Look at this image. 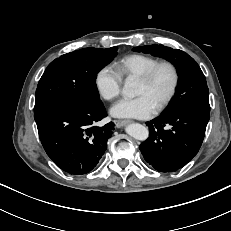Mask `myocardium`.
Segmentation results:
<instances>
[{"instance_id":"f54148a6","label":"myocardium","mask_w":231,"mask_h":231,"mask_svg":"<svg viewBox=\"0 0 231 231\" xmlns=\"http://www.w3.org/2000/svg\"><path fill=\"white\" fill-rule=\"evenodd\" d=\"M168 68L172 75V83L170 89L162 101L157 105L156 112L164 110L173 100L177 93L180 84V72L177 65L170 60L158 61L154 66L147 70L144 74L138 77V81L142 83H150L155 78L156 74L162 69Z\"/></svg>"}]
</instances>
